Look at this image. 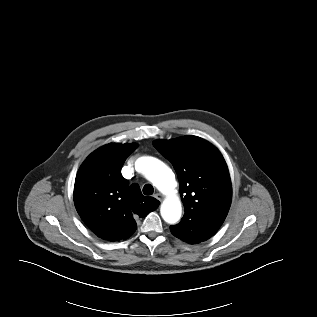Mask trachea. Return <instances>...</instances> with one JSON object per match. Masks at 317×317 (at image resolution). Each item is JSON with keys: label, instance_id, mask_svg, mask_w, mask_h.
Segmentation results:
<instances>
[{"label": "trachea", "instance_id": "obj_1", "mask_svg": "<svg viewBox=\"0 0 317 317\" xmlns=\"http://www.w3.org/2000/svg\"><path fill=\"white\" fill-rule=\"evenodd\" d=\"M154 192V188L151 184H146L144 187H143V193L145 195H152Z\"/></svg>", "mask_w": 317, "mask_h": 317}]
</instances>
